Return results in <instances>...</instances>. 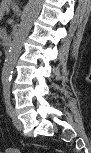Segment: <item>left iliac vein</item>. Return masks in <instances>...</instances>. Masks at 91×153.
Masks as SVG:
<instances>
[{"label":"left iliac vein","mask_w":91,"mask_h":153,"mask_svg":"<svg viewBox=\"0 0 91 153\" xmlns=\"http://www.w3.org/2000/svg\"><path fill=\"white\" fill-rule=\"evenodd\" d=\"M12 121H13L14 126H15L18 130H22V129H23L22 123H21V121L18 119V117H17V115L15 114V112H13Z\"/></svg>","instance_id":"left-iliac-vein-1"}]
</instances>
